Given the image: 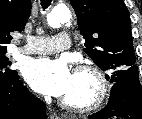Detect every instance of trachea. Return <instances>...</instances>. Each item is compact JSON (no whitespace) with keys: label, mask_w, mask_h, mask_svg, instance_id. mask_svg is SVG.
Wrapping results in <instances>:
<instances>
[{"label":"trachea","mask_w":142,"mask_h":119,"mask_svg":"<svg viewBox=\"0 0 142 119\" xmlns=\"http://www.w3.org/2000/svg\"><path fill=\"white\" fill-rule=\"evenodd\" d=\"M51 4V0H41V5L43 9H46Z\"/></svg>","instance_id":"obj_1"}]
</instances>
